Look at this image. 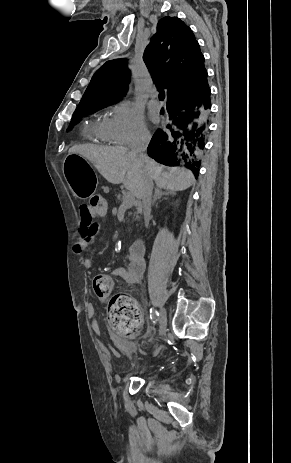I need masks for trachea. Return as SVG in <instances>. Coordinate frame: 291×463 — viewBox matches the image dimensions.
<instances>
[{"label": "trachea", "mask_w": 291, "mask_h": 463, "mask_svg": "<svg viewBox=\"0 0 291 463\" xmlns=\"http://www.w3.org/2000/svg\"><path fill=\"white\" fill-rule=\"evenodd\" d=\"M164 98H165V93L162 91L159 93V99L163 101Z\"/></svg>", "instance_id": "3493384b"}]
</instances>
